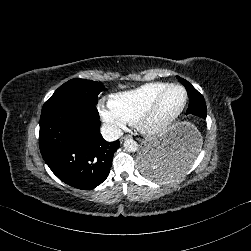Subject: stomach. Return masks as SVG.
I'll use <instances>...</instances> for the list:
<instances>
[{
	"mask_svg": "<svg viewBox=\"0 0 251 251\" xmlns=\"http://www.w3.org/2000/svg\"><path fill=\"white\" fill-rule=\"evenodd\" d=\"M201 145V133L193 122H177L161 136L141 142L137 155L139 168L154 182L172 178L188 169L198 157Z\"/></svg>",
	"mask_w": 251,
	"mask_h": 251,
	"instance_id": "1",
	"label": "stomach"
}]
</instances>
